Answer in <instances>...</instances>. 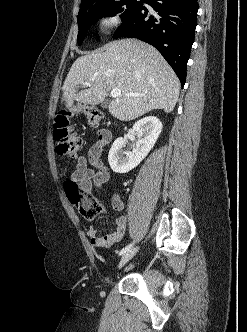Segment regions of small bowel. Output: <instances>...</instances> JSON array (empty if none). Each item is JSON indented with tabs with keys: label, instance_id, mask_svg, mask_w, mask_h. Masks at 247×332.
Returning a JSON list of instances; mask_svg holds the SVG:
<instances>
[{
	"label": "small bowel",
	"instance_id": "obj_1",
	"mask_svg": "<svg viewBox=\"0 0 247 332\" xmlns=\"http://www.w3.org/2000/svg\"><path fill=\"white\" fill-rule=\"evenodd\" d=\"M111 141L108 130L98 132L97 141L91 146L88 156H80L77 159L75 170L71 174V181L76 183L84 192H90L92 188H103L109 180V169L101 162L100 157L104 146ZM91 164L92 167H89ZM111 206L116 211H122L124 203L119 195L111 198ZM127 218L119 215L114 220V230L105 236H98L96 228L90 226L87 235L94 247H110L120 242L126 232Z\"/></svg>",
	"mask_w": 247,
	"mask_h": 332
}]
</instances>
